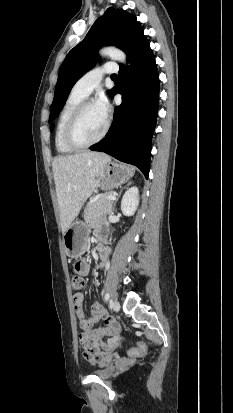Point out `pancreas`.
<instances>
[{
	"mask_svg": "<svg viewBox=\"0 0 233 413\" xmlns=\"http://www.w3.org/2000/svg\"><path fill=\"white\" fill-rule=\"evenodd\" d=\"M112 195L111 192L101 195L97 200L87 205L84 211V220L90 222L97 216L107 215L112 213V200L107 196Z\"/></svg>",
	"mask_w": 233,
	"mask_h": 413,
	"instance_id": "cf45deb5",
	"label": "pancreas"
}]
</instances>
